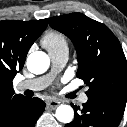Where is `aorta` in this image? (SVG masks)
Instances as JSON below:
<instances>
[{"label": "aorta", "instance_id": "obj_1", "mask_svg": "<svg viewBox=\"0 0 127 127\" xmlns=\"http://www.w3.org/2000/svg\"><path fill=\"white\" fill-rule=\"evenodd\" d=\"M50 65L49 56L42 51H35L27 58V68L34 74H42ZM56 119L62 123H70L74 118L73 108L69 105H60L56 109Z\"/></svg>", "mask_w": 127, "mask_h": 127}]
</instances>
